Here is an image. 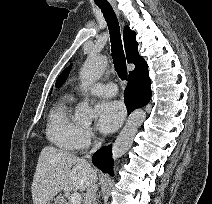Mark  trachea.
Instances as JSON below:
<instances>
[{
	"instance_id": "obj_1",
	"label": "trachea",
	"mask_w": 212,
	"mask_h": 204,
	"mask_svg": "<svg viewBox=\"0 0 212 204\" xmlns=\"http://www.w3.org/2000/svg\"><path fill=\"white\" fill-rule=\"evenodd\" d=\"M98 7L101 9L109 28L111 52L115 70L120 79L127 80L126 59L117 17L110 5H98Z\"/></svg>"
}]
</instances>
